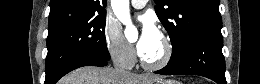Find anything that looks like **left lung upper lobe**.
Masks as SVG:
<instances>
[{"mask_svg": "<svg viewBox=\"0 0 260 84\" xmlns=\"http://www.w3.org/2000/svg\"><path fill=\"white\" fill-rule=\"evenodd\" d=\"M156 14L172 43L171 61L182 52L194 36L221 32L219 0H154Z\"/></svg>", "mask_w": 260, "mask_h": 84, "instance_id": "obj_1", "label": "left lung upper lobe"}]
</instances>
